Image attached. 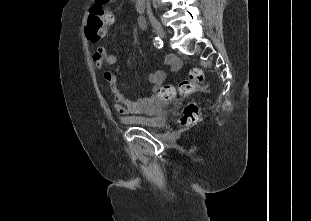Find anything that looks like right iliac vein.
<instances>
[{"instance_id": "63e3f726", "label": "right iliac vein", "mask_w": 311, "mask_h": 221, "mask_svg": "<svg viewBox=\"0 0 311 221\" xmlns=\"http://www.w3.org/2000/svg\"><path fill=\"white\" fill-rule=\"evenodd\" d=\"M152 26L154 28L155 33L162 39L166 37V33L162 27V25L158 21H153Z\"/></svg>"}]
</instances>
